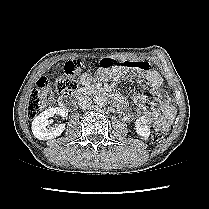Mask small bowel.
Here are the masks:
<instances>
[{
  "mask_svg": "<svg viewBox=\"0 0 209 209\" xmlns=\"http://www.w3.org/2000/svg\"><path fill=\"white\" fill-rule=\"evenodd\" d=\"M104 61H112L114 64L111 66L101 64L94 76L82 72L80 82L83 85H90L95 80H121L129 77L144 80L146 84L142 86L143 92L135 97V100L139 103L138 112L140 115L149 118L156 130L163 127L167 128L168 123L175 116L176 109L168 97L160 90L162 85L161 75L156 70L150 69L146 62H137L136 66L128 67L125 63L129 62L117 64L109 59ZM151 98H155L159 102L158 107L150 105ZM129 115V113H125L126 117H129Z\"/></svg>",
  "mask_w": 209,
  "mask_h": 209,
  "instance_id": "small-bowel-1",
  "label": "small bowel"
}]
</instances>
